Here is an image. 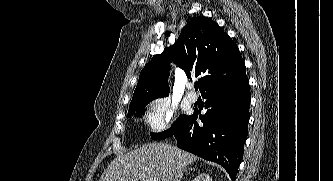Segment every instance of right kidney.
<instances>
[{
	"instance_id": "1",
	"label": "right kidney",
	"mask_w": 333,
	"mask_h": 181,
	"mask_svg": "<svg viewBox=\"0 0 333 181\" xmlns=\"http://www.w3.org/2000/svg\"><path fill=\"white\" fill-rule=\"evenodd\" d=\"M192 181H212L208 174H199Z\"/></svg>"
}]
</instances>
